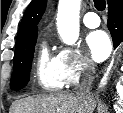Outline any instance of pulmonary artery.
Returning a JSON list of instances; mask_svg holds the SVG:
<instances>
[{
  "label": "pulmonary artery",
  "instance_id": "pulmonary-artery-1",
  "mask_svg": "<svg viewBox=\"0 0 123 113\" xmlns=\"http://www.w3.org/2000/svg\"><path fill=\"white\" fill-rule=\"evenodd\" d=\"M83 23L88 28H96L100 25V18L96 12L90 11L83 16Z\"/></svg>",
  "mask_w": 123,
  "mask_h": 113
}]
</instances>
